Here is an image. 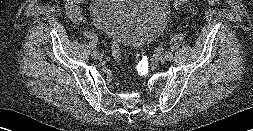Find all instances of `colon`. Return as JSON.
<instances>
[{
  "label": "colon",
  "instance_id": "1",
  "mask_svg": "<svg viewBox=\"0 0 253 131\" xmlns=\"http://www.w3.org/2000/svg\"><path fill=\"white\" fill-rule=\"evenodd\" d=\"M190 0H173V6L175 8H181L185 5H187V3L189 2ZM207 2L208 5H217L220 0H205ZM112 55H113V58L116 62H119L120 60V47L117 43L113 42L112 43Z\"/></svg>",
  "mask_w": 253,
  "mask_h": 131
}]
</instances>
